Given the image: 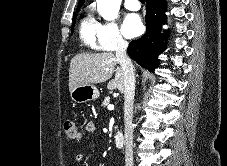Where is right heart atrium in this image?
<instances>
[{
  "label": "right heart atrium",
  "mask_w": 227,
  "mask_h": 166,
  "mask_svg": "<svg viewBox=\"0 0 227 166\" xmlns=\"http://www.w3.org/2000/svg\"><path fill=\"white\" fill-rule=\"evenodd\" d=\"M98 37L101 48L105 51H111L123 47L126 44L115 21H104L99 23Z\"/></svg>",
  "instance_id": "1"
}]
</instances>
